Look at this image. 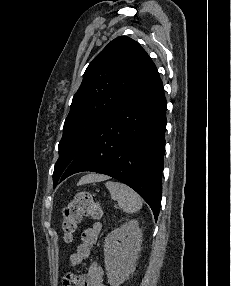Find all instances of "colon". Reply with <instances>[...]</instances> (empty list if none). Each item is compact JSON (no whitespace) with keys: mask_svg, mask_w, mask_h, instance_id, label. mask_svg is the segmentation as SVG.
Listing matches in <instances>:
<instances>
[{"mask_svg":"<svg viewBox=\"0 0 231 286\" xmlns=\"http://www.w3.org/2000/svg\"><path fill=\"white\" fill-rule=\"evenodd\" d=\"M101 208L89 192H79L74 199L62 209V230L66 240L70 241L85 217L98 218Z\"/></svg>","mask_w":231,"mask_h":286,"instance_id":"1","label":"colon"}]
</instances>
